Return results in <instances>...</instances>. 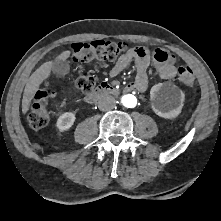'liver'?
Listing matches in <instances>:
<instances>
[{
	"mask_svg": "<svg viewBox=\"0 0 221 221\" xmlns=\"http://www.w3.org/2000/svg\"><path fill=\"white\" fill-rule=\"evenodd\" d=\"M71 51H63L60 55L56 57L57 60H66L69 58ZM52 61L43 63L32 75L29 77L23 94L22 99V112L25 114L29 110L31 100L33 99L36 91L39 89V86L45 81L51 73Z\"/></svg>",
	"mask_w": 221,
	"mask_h": 221,
	"instance_id": "6515ba94",
	"label": "liver"
}]
</instances>
